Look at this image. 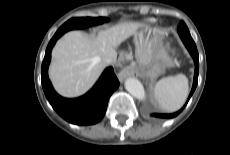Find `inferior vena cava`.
<instances>
[{
  "instance_id": "1",
  "label": "inferior vena cava",
  "mask_w": 230,
  "mask_h": 155,
  "mask_svg": "<svg viewBox=\"0 0 230 155\" xmlns=\"http://www.w3.org/2000/svg\"><path fill=\"white\" fill-rule=\"evenodd\" d=\"M116 57H117V53H116V51H113L112 54L105 57V59H104L105 64L114 63L116 61Z\"/></svg>"
}]
</instances>
